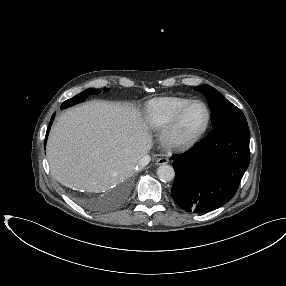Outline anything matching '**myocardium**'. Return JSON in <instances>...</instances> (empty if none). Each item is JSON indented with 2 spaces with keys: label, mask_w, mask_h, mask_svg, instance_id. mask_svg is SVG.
<instances>
[{
  "label": "myocardium",
  "mask_w": 286,
  "mask_h": 286,
  "mask_svg": "<svg viewBox=\"0 0 286 286\" xmlns=\"http://www.w3.org/2000/svg\"><path fill=\"white\" fill-rule=\"evenodd\" d=\"M195 104H201L205 110H206V120L203 125V127L197 131L196 133L185 137V138H179L177 136V131L189 111V109L194 106ZM211 121V112L207 104L201 100H192L190 103H188L180 112L179 114L172 120L171 123H169L162 131L161 140L162 143L170 148V149H184L192 146L195 144L207 131Z\"/></svg>",
  "instance_id": "1"
}]
</instances>
